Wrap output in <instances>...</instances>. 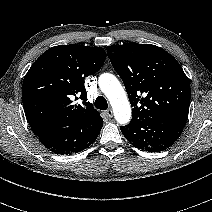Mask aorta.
Listing matches in <instances>:
<instances>
[{
    "label": "aorta",
    "mask_w": 212,
    "mask_h": 212,
    "mask_svg": "<svg viewBox=\"0 0 212 212\" xmlns=\"http://www.w3.org/2000/svg\"><path fill=\"white\" fill-rule=\"evenodd\" d=\"M98 84L113 108L116 121L127 124L131 119V107L119 80L113 74L103 73L99 76Z\"/></svg>",
    "instance_id": "obj_1"
}]
</instances>
